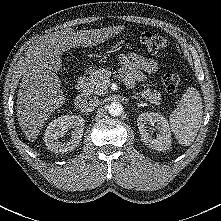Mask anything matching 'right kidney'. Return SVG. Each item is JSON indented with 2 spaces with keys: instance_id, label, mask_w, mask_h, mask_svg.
<instances>
[{
  "instance_id": "right-kidney-1",
  "label": "right kidney",
  "mask_w": 221,
  "mask_h": 221,
  "mask_svg": "<svg viewBox=\"0 0 221 221\" xmlns=\"http://www.w3.org/2000/svg\"><path fill=\"white\" fill-rule=\"evenodd\" d=\"M84 119L81 116L63 115L53 120L45 130L44 141L47 149L55 153L74 150L80 143L84 131ZM73 128L71 139L60 140L68 129Z\"/></svg>"
}]
</instances>
